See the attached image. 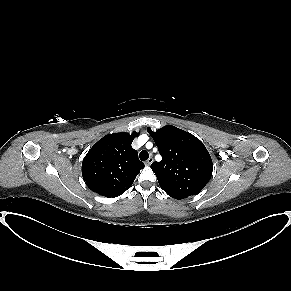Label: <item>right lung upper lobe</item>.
I'll return each mask as SVG.
<instances>
[{
	"label": "right lung upper lobe",
	"mask_w": 291,
	"mask_h": 291,
	"mask_svg": "<svg viewBox=\"0 0 291 291\" xmlns=\"http://www.w3.org/2000/svg\"><path fill=\"white\" fill-rule=\"evenodd\" d=\"M138 133H114L100 139L82 162V176L90 190L108 198L123 194L144 168L131 143Z\"/></svg>",
	"instance_id": "obj_1"
}]
</instances>
